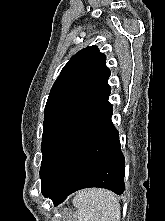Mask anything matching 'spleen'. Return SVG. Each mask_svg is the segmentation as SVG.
<instances>
[{
  "label": "spleen",
  "instance_id": "1",
  "mask_svg": "<svg viewBox=\"0 0 165 221\" xmlns=\"http://www.w3.org/2000/svg\"><path fill=\"white\" fill-rule=\"evenodd\" d=\"M73 205L77 208V221H120V204L116 196L108 191L90 188L79 191Z\"/></svg>",
  "mask_w": 165,
  "mask_h": 221
}]
</instances>
